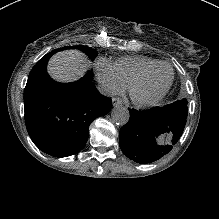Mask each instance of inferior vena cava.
Instances as JSON below:
<instances>
[{
    "instance_id": "inferior-vena-cava-1",
    "label": "inferior vena cava",
    "mask_w": 219,
    "mask_h": 219,
    "mask_svg": "<svg viewBox=\"0 0 219 219\" xmlns=\"http://www.w3.org/2000/svg\"><path fill=\"white\" fill-rule=\"evenodd\" d=\"M96 89L99 93H101L102 95H105L107 97L115 96V91L113 90V88L106 83H99L96 86Z\"/></svg>"
}]
</instances>
